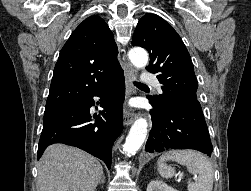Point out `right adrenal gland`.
<instances>
[{
	"label": "right adrenal gland",
	"mask_w": 251,
	"mask_h": 191,
	"mask_svg": "<svg viewBox=\"0 0 251 191\" xmlns=\"http://www.w3.org/2000/svg\"><path fill=\"white\" fill-rule=\"evenodd\" d=\"M99 183H105V175H102V179H100Z\"/></svg>",
	"instance_id": "2a0ac1e0"
}]
</instances>
